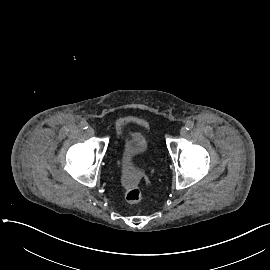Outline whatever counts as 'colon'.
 I'll return each mask as SVG.
<instances>
[{
    "instance_id": "5ec220e1",
    "label": "colon",
    "mask_w": 270,
    "mask_h": 270,
    "mask_svg": "<svg viewBox=\"0 0 270 270\" xmlns=\"http://www.w3.org/2000/svg\"><path fill=\"white\" fill-rule=\"evenodd\" d=\"M133 142L141 147H146V141L142 138L141 135H135L133 137ZM138 174L128 175L123 174L122 183L124 186V199L127 203L137 204L141 201L142 192L137 182Z\"/></svg>"
}]
</instances>
